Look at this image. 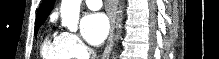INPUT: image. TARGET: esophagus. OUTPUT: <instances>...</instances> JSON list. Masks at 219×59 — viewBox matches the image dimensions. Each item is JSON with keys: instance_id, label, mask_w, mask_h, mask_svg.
Returning <instances> with one entry per match:
<instances>
[{"instance_id": "obj_1", "label": "esophagus", "mask_w": 219, "mask_h": 59, "mask_svg": "<svg viewBox=\"0 0 219 59\" xmlns=\"http://www.w3.org/2000/svg\"><path fill=\"white\" fill-rule=\"evenodd\" d=\"M112 4L113 8L109 11V20H110V34L108 37V41L105 47V50L102 54V59H108L110 56V53L112 51L113 43H114V27H115V14L114 9L118 5V0H110L109 2Z\"/></svg>"}]
</instances>
